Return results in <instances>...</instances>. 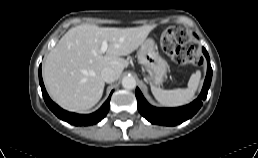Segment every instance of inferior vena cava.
<instances>
[{
	"mask_svg": "<svg viewBox=\"0 0 258 158\" xmlns=\"http://www.w3.org/2000/svg\"><path fill=\"white\" fill-rule=\"evenodd\" d=\"M101 78L107 83H112L117 79L116 72L111 68H104L101 71Z\"/></svg>",
	"mask_w": 258,
	"mask_h": 158,
	"instance_id": "602c4592",
	"label": "inferior vena cava"
}]
</instances>
